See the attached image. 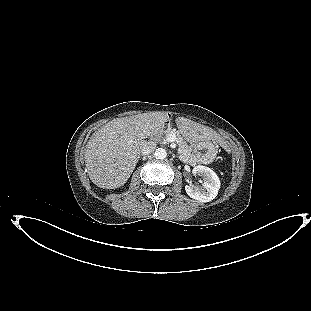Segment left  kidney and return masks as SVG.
Returning <instances> with one entry per match:
<instances>
[{"mask_svg":"<svg viewBox=\"0 0 311 311\" xmlns=\"http://www.w3.org/2000/svg\"><path fill=\"white\" fill-rule=\"evenodd\" d=\"M193 173L202 177V186L186 185V193L200 202H210L217 196L220 189L221 184L217 174L209 167L201 165L194 167Z\"/></svg>","mask_w":311,"mask_h":311,"instance_id":"1","label":"left kidney"}]
</instances>
